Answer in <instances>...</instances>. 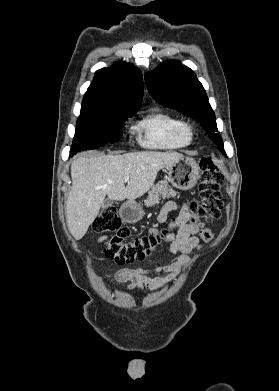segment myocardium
Wrapping results in <instances>:
<instances>
[{"mask_svg": "<svg viewBox=\"0 0 279 391\" xmlns=\"http://www.w3.org/2000/svg\"><path fill=\"white\" fill-rule=\"evenodd\" d=\"M186 133L191 138L193 135V126L186 124Z\"/></svg>", "mask_w": 279, "mask_h": 391, "instance_id": "1", "label": "myocardium"}]
</instances>
